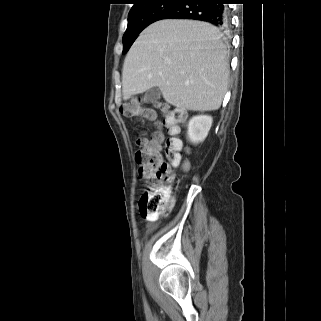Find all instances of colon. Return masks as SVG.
Segmentation results:
<instances>
[{
    "mask_svg": "<svg viewBox=\"0 0 321 321\" xmlns=\"http://www.w3.org/2000/svg\"><path fill=\"white\" fill-rule=\"evenodd\" d=\"M159 107L163 113L162 124L172 135L166 140L165 160L160 155L162 137L159 132H155L151 138L142 137L137 141L139 150L136 153V162L140 175L147 182V188L139 202V211L144 218L166 216L171 212L173 197L166 184L167 174L170 167H187L181 159L184 149L182 141L176 137L179 125L184 120V113L163 104H159ZM121 112L127 117L154 118L152 110L146 108L139 99L123 104Z\"/></svg>",
    "mask_w": 321,
    "mask_h": 321,
    "instance_id": "obj_1",
    "label": "colon"
}]
</instances>
